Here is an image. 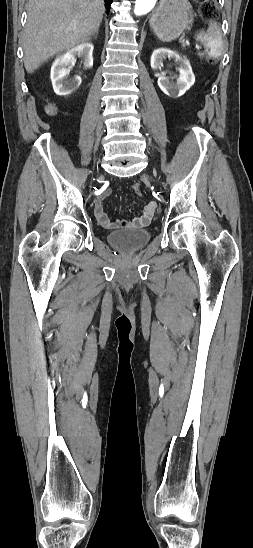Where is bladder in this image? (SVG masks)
Segmentation results:
<instances>
[{
  "label": "bladder",
  "mask_w": 253,
  "mask_h": 548,
  "mask_svg": "<svg viewBox=\"0 0 253 548\" xmlns=\"http://www.w3.org/2000/svg\"><path fill=\"white\" fill-rule=\"evenodd\" d=\"M107 239L114 247L133 251L139 249L149 241L150 232L147 229L117 230L110 232Z\"/></svg>",
  "instance_id": "bladder-1"
}]
</instances>
